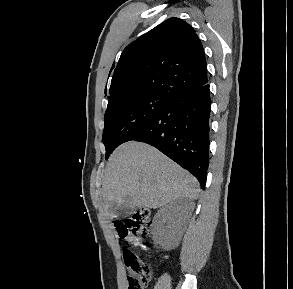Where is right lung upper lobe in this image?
<instances>
[{"mask_svg": "<svg viewBox=\"0 0 293 289\" xmlns=\"http://www.w3.org/2000/svg\"><path fill=\"white\" fill-rule=\"evenodd\" d=\"M207 82L200 39L191 25L173 17L124 49L112 76L108 106L144 94L173 100Z\"/></svg>", "mask_w": 293, "mask_h": 289, "instance_id": "cb5924a9", "label": "right lung upper lobe"}]
</instances>
